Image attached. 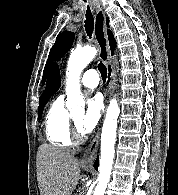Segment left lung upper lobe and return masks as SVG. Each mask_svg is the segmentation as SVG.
<instances>
[{
	"label": "left lung upper lobe",
	"mask_w": 178,
	"mask_h": 195,
	"mask_svg": "<svg viewBox=\"0 0 178 195\" xmlns=\"http://www.w3.org/2000/svg\"><path fill=\"white\" fill-rule=\"evenodd\" d=\"M106 23L108 25V23H109L108 18L106 19ZM74 37H75L74 33L69 32V31H64V32L58 34L56 41H55V44L53 45V47L50 50L49 58H48V61L45 65V68H44L42 84H44V82L46 80L47 69H48V66H49L51 60L53 58L60 59L66 52H68V50H70V48L73 44Z\"/></svg>",
	"instance_id": "left-lung-upper-lobe-1"
}]
</instances>
